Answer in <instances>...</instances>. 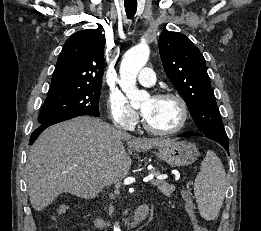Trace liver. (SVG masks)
<instances>
[{
  "label": "liver",
  "instance_id": "6515ba94",
  "mask_svg": "<svg viewBox=\"0 0 261 231\" xmlns=\"http://www.w3.org/2000/svg\"><path fill=\"white\" fill-rule=\"evenodd\" d=\"M129 150L145 152L169 139L132 137L100 119L80 116L46 129L31 147L26 181L32 207L44 210L59 194L94 198L130 170Z\"/></svg>",
  "mask_w": 261,
  "mask_h": 231
}]
</instances>
